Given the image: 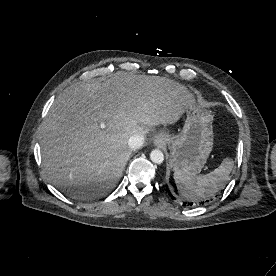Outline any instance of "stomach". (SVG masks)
I'll use <instances>...</instances> for the list:
<instances>
[{
	"mask_svg": "<svg viewBox=\"0 0 276 276\" xmlns=\"http://www.w3.org/2000/svg\"><path fill=\"white\" fill-rule=\"evenodd\" d=\"M212 123L211 112L194 105L187 111L182 131L175 136L165 134L174 171L196 173L205 166L213 149Z\"/></svg>",
	"mask_w": 276,
	"mask_h": 276,
	"instance_id": "0dacf381",
	"label": "stomach"
}]
</instances>
